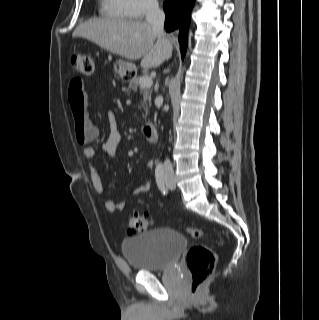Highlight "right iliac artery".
Returning a JSON list of instances; mask_svg holds the SVG:
<instances>
[{
    "mask_svg": "<svg viewBox=\"0 0 319 320\" xmlns=\"http://www.w3.org/2000/svg\"><path fill=\"white\" fill-rule=\"evenodd\" d=\"M155 177L159 189L165 194L167 192V188L165 186L164 170L162 167H157L155 169Z\"/></svg>",
    "mask_w": 319,
    "mask_h": 320,
    "instance_id": "82829eb1",
    "label": "right iliac artery"
}]
</instances>
